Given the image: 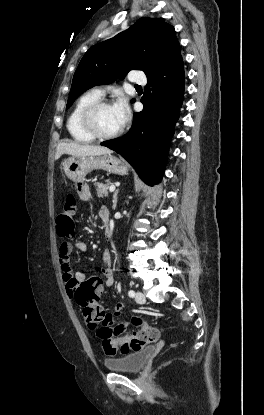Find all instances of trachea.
I'll return each mask as SVG.
<instances>
[{
    "instance_id": "3493384b",
    "label": "trachea",
    "mask_w": 264,
    "mask_h": 415,
    "mask_svg": "<svg viewBox=\"0 0 264 415\" xmlns=\"http://www.w3.org/2000/svg\"><path fill=\"white\" fill-rule=\"evenodd\" d=\"M135 87H140L139 85H135Z\"/></svg>"
}]
</instances>
